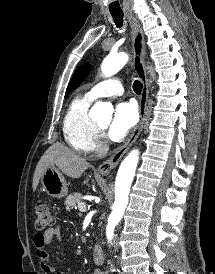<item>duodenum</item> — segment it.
<instances>
[{"label":"duodenum","instance_id":"410a0bca","mask_svg":"<svg viewBox=\"0 0 215 274\" xmlns=\"http://www.w3.org/2000/svg\"><path fill=\"white\" fill-rule=\"evenodd\" d=\"M93 260L97 265H102L104 263V253L100 246H95L93 248Z\"/></svg>","mask_w":215,"mask_h":274}]
</instances>
